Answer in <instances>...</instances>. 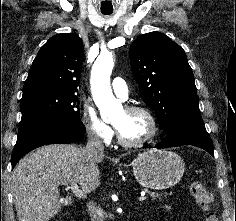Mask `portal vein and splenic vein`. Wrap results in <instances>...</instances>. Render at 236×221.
<instances>
[{
    "mask_svg": "<svg viewBox=\"0 0 236 221\" xmlns=\"http://www.w3.org/2000/svg\"><path fill=\"white\" fill-rule=\"evenodd\" d=\"M72 191V193L77 196L78 198H85L86 194L84 193L83 190L79 189L77 184H71V186L69 187ZM139 201H144L146 200L145 196H141L138 198Z\"/></svg>",
    "mask_w": 236,
    "mask_h": 221,
    "instance_id": "18ae733b",
    "label": "portal vein and splenic vein"
}]
</instances>
